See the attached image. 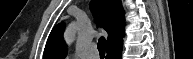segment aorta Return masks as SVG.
<instances>
[{
	"label": "aorta",
	"mask_w": 193,
	"mask_h": 59,
	"mask_svg": "<svg viewBox=\"0 0 193 59\" xmlns=\"http://www.w3.org/2000/svg\"><path fill=\"white\" fill-rule=\"evenodd\" d=\"M75 31H76V24L73 23L69 26V28L66 32V37H67L68 41H71L73 39Z\"/></svg>",
	"instance_id": "aorta-1"
}]
</instances>
